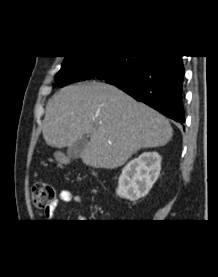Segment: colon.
<instances>
[{"label": "colon", "mask_w": 218, "mask_h": 277, "mask_svg": "<svg viewBox=\"0 0 218 277\" xmlns=\"http://www.w3.org/2000/svg\"><path fill=\"white\" fill-rule=\"evenodd\" d=\"M31 196L34 205L39 209L47 208L56 198L55 189L45 182H36L32 185Z\"/></svg>", "instance_id": "1"}]
</instances>
